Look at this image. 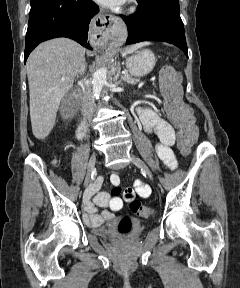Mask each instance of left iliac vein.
Listing matches in <instances>:
<instances>
[{"label": "left iliac vein", "mask_w": 240, "mask_h": 288, "mask_svg": "<svg viewBox=\"0 0 240 288\" xmlns=\"http://www.w3.org/2000/svg\"><path fill=\"white\" fill-rule=\"evenodd\" d=\"M131 161L133 164H135L137 167L141 168V170L147 174V176L150 178V179H153V175L151 173V171L149 170V168L146 166V164L140 159L138 158L137 156L135 155H131Z\"/></svg>", "instance_id": "obj_1"}]
</instances>
